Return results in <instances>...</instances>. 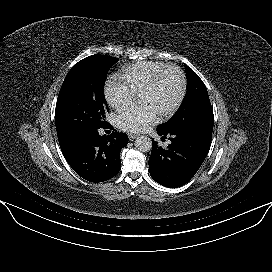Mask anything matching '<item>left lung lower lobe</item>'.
Here are the masks:
<instances>
[{
	"instance_id": "obj_1",
	"label": "left lung lower lobe",
	"mask_w": 272,
	"mask_h": 272,
	"mask_svg": "<svg viewBox=\"0 0 272 272\" xmlns=\"http://www.w3.org/2000/svg\"><path fill=\"white\" fill-rule=\"evenodd\" d=\"M162 136H170L171 144L167 148L159 147L153 141L149 158V172L159 184L177 188L186 184L198 171L206 158L212 134L196 132L165 133L157 128Z\"/></svg>"
}]
</instances>
